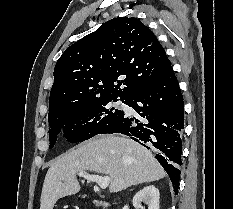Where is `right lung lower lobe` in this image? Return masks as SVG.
I'll list each match as a JSON object with an SVG mask.
<instances>
[{
  "instance_id": "1",
  "label": "right lung lower lobe",
  "mask_w": 233,
  "mask_h": 209,
  "mask_svg": "<svg viewBox=\"0 0 233 209\" xmlns=\"http://www.w3.org/2000/svg\"><path fill=\"white\" fill-rule=\"evenodd\" d=\"M125 104L132 107L138 117L124 113L120 120L100 134H125L152 149L177 194L181 174L178 165H181L184 105L172 67L156 84L125 99Z\"/></svg>"
}]
</instances>
